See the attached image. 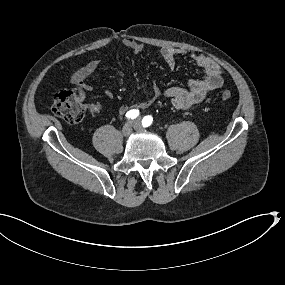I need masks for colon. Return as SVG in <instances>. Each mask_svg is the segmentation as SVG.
<instances>
[{
	"mask_svg": "<svg viewBox=\"0 0 285 285\" xmlns=\"http://www.w3.org/2000/svg\"><path fill=\"white\" fill-rule=\"evenodd\" d=\"M231 97L232 94L229 90H224L221 93V99L224 101ZM100 110L99 104L84 102L83 94L79 90H62L54 98L53 112L70 124L79 123L87 113L97 114Z\"/></svg>",
	"mask_w": 285,
	"mask_h": 285,
	"instance_id": "colon-1",
	"label": "colon"
}]
</instances>
